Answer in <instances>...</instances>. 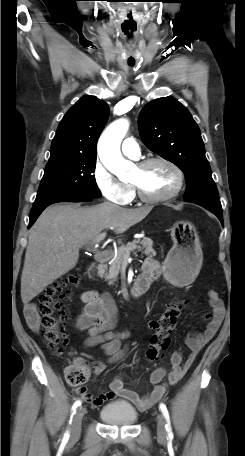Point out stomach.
<instances>
[{
  "label": "stomach",
  "instance_id": "obj_1",
  "mask_svg": "<svg viewBox=\"0 0 245 456\" xmlns=\"http://www.w3.org/2000/svg\"><path fill=\"white\" fill-rule=\"evenodd\" d=\"M170 230L173 246L163 263V272L173 285H187L194 280L202 264L199 236L189 221H178Z\"/></svg>",
  "mask_w": 245,
  "mask_h": 456
}]
</instances>
